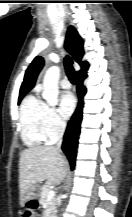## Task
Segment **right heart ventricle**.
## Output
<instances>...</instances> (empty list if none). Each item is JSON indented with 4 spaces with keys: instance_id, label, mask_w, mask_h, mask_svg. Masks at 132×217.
I'll list each match as a JSON object with an SVG mask.
<instances>
[{
    "instance_id": "obj_1",
    "label": "right heart ventricle",
    "mask_w": 132,
    "mask_h": 217,
    "mask_svg": "<svg viewBox=\"0 0 132 217\" xmlns=\"http://www.w3.org/2000/svg\"><path fill=\"white\" fill-rule=\"evenodd\" d=\"M47 106L36 95L30 94L23 100L20 113V134L25 146L39 147L47 141L44 130Z\"/></svg>"
}]
</instances>
